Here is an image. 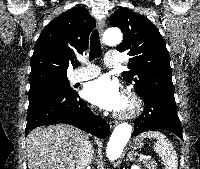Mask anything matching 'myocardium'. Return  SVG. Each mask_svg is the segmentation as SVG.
<instances>
[{"label": "myocardium", "mask_w": 200, "mask_h": 169, "mask_svg": "<svg viewBox=\"0 0 200 169\" xmlns=\"http://www.w3.org/2000/svg\"><path fill=\"white\" fill-rule=\"evenodd\" d=\"M123 96L124 99L128 102V107L125 110L116 112V116L120 119H133L142 111V100L132 90H126Z\"/></svg>", "instance_id": "obj_1"}]
</instances>
